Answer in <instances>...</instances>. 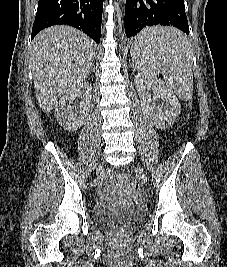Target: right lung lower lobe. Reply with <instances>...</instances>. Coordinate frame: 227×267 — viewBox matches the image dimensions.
<instances>
[{"label":"right lung lower lobe","mask_w":227,"mask_h":267,"mask_svg":"<svg viewBox=\"0 0 227 267\" xmlns=\"http://www.w3.org/2000/svg\"><path fill=\"white\" fill-rule=\"evenodd\" d=\"M103 0H39L31 39L46 27L70 25L100 42Z\"/></svg>","instance_id":"98d812e1"}]
</instances>
